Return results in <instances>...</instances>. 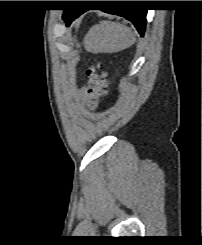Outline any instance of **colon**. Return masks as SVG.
I'll return each instance as SVG.
<instances>
[{
    "instance_id": "colon-1",
    "label": "colon",
    "mask_w": 202,
    "mask_h": 245,
    "mask_svg": "<svg viewBox=\"0 0 202 245\" xmlns=\"http://www.w3.org/2000/svg\"><path fill=\"white\" fill-rule=\"evenodd\" d=\"M103 63H95L89 66L86 70L88 77L87 94L90 105L96 108L100 105L104 96L107 95L109 82L105 73Z\"/></svg>"
}]
</instances>
